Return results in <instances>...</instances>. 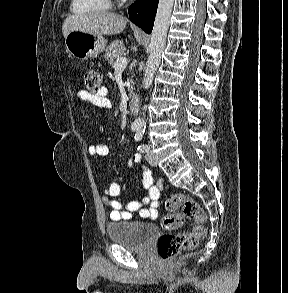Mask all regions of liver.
<instances>
[{"instance_id":"liver-1","label":"liver","mask_w":288,"mask_h":293,"mask_svg":"<svg viewBox=\"0 0 288 293\" xmlns=\"http://www.w3.org/2000/svg\"><path fill=\"white\" fill-rule=\"evenodd\" d=\"M127 24L122 15L111 12H91L69 15L63 23L62 33L66 37L71 30L94 35H115L121 33Z\"/></svg>"}]
</instances>
